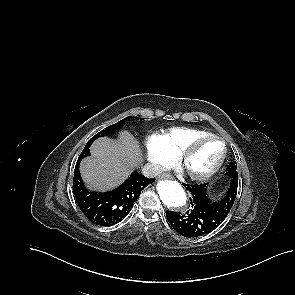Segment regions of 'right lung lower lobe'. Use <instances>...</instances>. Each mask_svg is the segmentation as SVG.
<instances>
[{"label": "right lung lower lobe", "instance_id": "98d812e1", "mask_svg": "<svg viewBox=\"0 0 295 295\" xmlns=\"http://www.w3.org/2000/svg\"><path fill=\"white\" fill-rule=\"evenodd\" d=\"M90 149L79 156L74 170L73 192L81 211L94 224L111 226L122 221L130 212L141 191L154 179L135 171L121 186L111 192L97 193L87 190L79 172V163Z\"/></svg>", "mask_w": 295, "mask_h": 295}]
</instances>
